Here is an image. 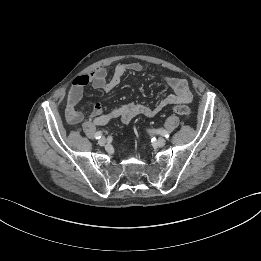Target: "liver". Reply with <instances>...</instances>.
<instances>
[{
    "label": "liver",
    "instance_id": "1",
    "mask_svg": "<svg viewBox=\"0 0 261 261\" xmlns=\"http://www.w3.org/2000/svg\"><path fill=\"white\" fill-rule=\"evenodd\" d=\"M70 94H71V91H70L69 94H68V101L70 100Z\"/></svg>",
    "mask_w": 261,
    "mask_h": 261
}]
</instances>
